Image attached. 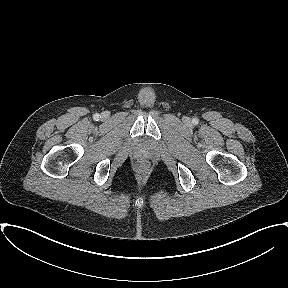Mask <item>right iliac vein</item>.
Returning <instances> with one entry per match:
<instances>
[{
	"label": "right iliac vein",
	"instance_id": "obj_1",
	"mask_svg": "<svg viewBox=\"0 0 288 288\" xmlns=\"http://www.w3.org/2000/svg\"><path fill=\"white\" fill-rule=\"evenodd\" d=\"M107 116H108V115H107L106 113H104L102 117H103V118H106Z\"/></svg>",
	"mask_w": 288,
	"mask_h": 288
}]
</instances>
